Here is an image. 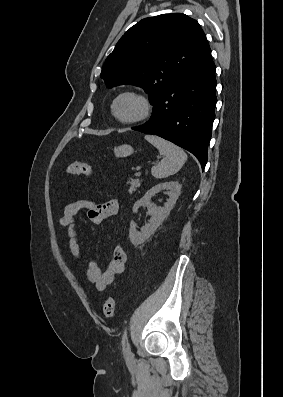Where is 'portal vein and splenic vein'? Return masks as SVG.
I'll return each mask as SVG.
<instances>
[{"label":"portal vein and splenic vein","mask_w":283,"mask_h":397,"mask_svg":"<svg viewBox=\"0 0 283 397\" xmlns=\"http://www.w3.org/2000/svg\"><path fill=\"white\" fill-rule=\"evenodd\" d=\"M136 176H137V177H140V176H141V172H137V173H136Z\"/></svg>","instance_id":"obj_1"}]
</instances>
